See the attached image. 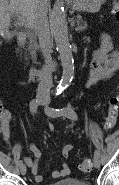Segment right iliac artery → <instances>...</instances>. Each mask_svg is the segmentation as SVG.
Instances as JSON below:
<instances>
[{
	"label": "right iliac artery",
	"instance_id": "obj_1",
	"mask_svg": "<svg viewBox=\"0 0 119 185\" xmlns=\"http://www.w3.org/2000/svg\"><path fill=\"white\" fill-rule=\"evenodd\" d=\"M38 105H39V100L38 99H33L30 102L29 107H30V110H31L32 113H36ZM17 164L20 166V165L23 164V161L19 160Z\"/></svg>",
	"mask_w": 119,
	"mask_h": 185
}]
</instances>
